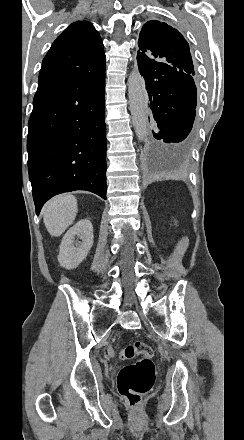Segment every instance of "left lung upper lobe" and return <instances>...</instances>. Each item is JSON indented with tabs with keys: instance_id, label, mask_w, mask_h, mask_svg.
Masks as SVG:
<instances>
[{
	"instance_id": "obj_1",
	"label": "left lung upper lobe",
	"mask_w": 244,
	"mask_h": 440,
	"mask_svg": "<svg viewBox=\"0 0 244 440\" xmlns=\"http://www.w3.org/2000/svg\"><path fill=\"white\" fill-rule=\"evenodd\" d=\"M137 62L195 75L189 44L175 28L158 20L146 22L139 35Z\"/></svg>"
}]
</instances>
